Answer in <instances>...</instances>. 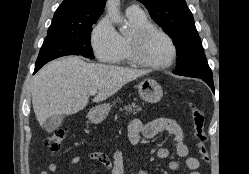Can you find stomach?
Returning <instances> with one entry per match:
<instances>
[{
	"instance_id": "obj_1",
	"label": "stomach",
	"mask_w": 249,
	"mask_h": 174,
	"mask_svg": "<svg viewBox=\"0 0 249 174\" xmlns=\"http://www.w3.org/2000/svg\"><path fill=\"white\" fill-rule=\"evenodd\" d=\"M138 92L140 97L149 103H156L163 96L161 86L153 79L141 81L138 85ZM110 109L111 105L108 103L98 105L88 113V117L93 123H99L107 117Z\"/></svg>"
}]
</instances>
